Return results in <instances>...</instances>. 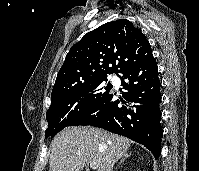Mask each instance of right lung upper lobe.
I'll return each instance as SVG.
<instances>
[{
	"label": "right lung upper lobe",
	"instance_id": "cb5924a9",
	"mask_svg": "<svg viewBox=\"0 0 199 171\" xmlns=\"http://www.w3.org/2000/svg\"><path fill=\"white\" fill-rule=\"evenodd\" d=\"M152 56L148 40L126 19L101 25L73 45L58 72L51 103L82 84L123 72Z\"/></svg>",
	"mask_w": 199,
	"mask_h": 171
}]
</instances>
